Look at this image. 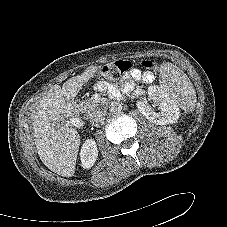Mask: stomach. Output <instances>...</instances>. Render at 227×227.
Returning a JSON list of instances; mask_svg holds the SVG:
<instances>
[{"mask_svg": "<svg viewBox=\"0 0 227 227\" xmlns=\"http://www.w3.org/2000/svg\"><path fill=\"white\" fill-rule=\"evenodd\" d=\"M103 75L104 76H108V73H106L105 71H103Z\"/></svg>", "mask_w": 227, "mask_h": 227, "instance_id": "0dacf381", "label": "stomach"}]
</instances>
